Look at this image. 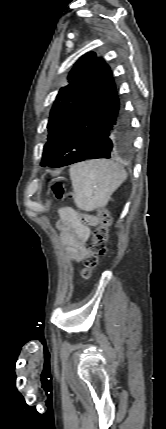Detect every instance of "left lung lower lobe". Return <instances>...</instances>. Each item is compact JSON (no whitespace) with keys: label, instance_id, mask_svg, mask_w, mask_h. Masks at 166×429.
I'll list each match as a JSON object with an SVG mask.
<instances>
[{"label":"left lung lower lobe","instance_id":"obj_1","mask_svg":"<svg viewBox=\"0 0 166 429\" xmlns=\"http://www.w3.org/2000/svg\"><path fill=\"white\" fill-rule=\"evenodd\" d=\"M132 142L110 67L96 56L92 74L75 104L64 133L43 167H63L86 159L110 158Z\"/></svg>","mask_w":166,"mask_h":429}]
</instances>
